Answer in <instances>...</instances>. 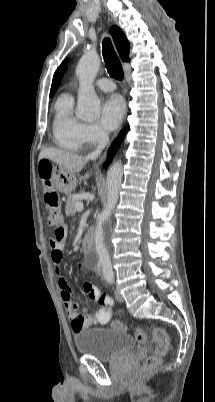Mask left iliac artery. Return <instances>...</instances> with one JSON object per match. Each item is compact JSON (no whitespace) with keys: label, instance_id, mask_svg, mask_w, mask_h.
Here are the masks:
<instances>
[{"label":"left iliac artery","instance_id":"1","mask_svg":"<svg viewBox=\"0 0 215 402\" xmlns=\"http://www.w3.org/2000/svg\"><path fill=\"white\" fill-rule=\"evenodd\" d=\"M107 280H108L109 283H112V282H113V279H112V278H109V279H107Z\"/></svg>","mask_w":215,"mask_h":402}]
</instances>
